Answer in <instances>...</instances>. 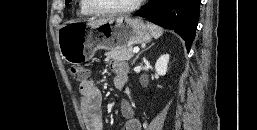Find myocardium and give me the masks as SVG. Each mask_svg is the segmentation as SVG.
<instances>
[{"instance_id": "obj_1", "label": "myocardium", "mask_w": 257, "mask_h": 130, "mask_svg": "<svg viewBox=\"0 0 257 130\" xmlns=\"http://www.w3.org/2000/svg\"><path fill=\"white\" fill-rule=\"evenodd\" d=\"M144 0H134L133 3H131L128 6L121 7V8H99L95 6L91 0H84V4L86 8L92 12L93 14L97 15H116V14H125L135 11L143 2Z\"/></svg>"}]
</instances>
